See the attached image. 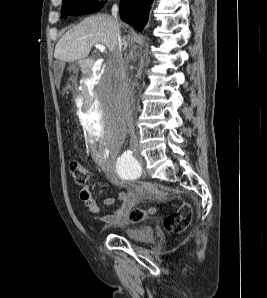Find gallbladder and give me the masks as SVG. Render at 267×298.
<instances>
[{
  "instance_id": "gallbladder-1",
  "label": "gallbladder",
  "mask_w": 267,
  "mask_h": 298,
  "mask_svg": "<svg viewBox=\"0 0 267 298\" xmlns=\"http://www.w3.org/2000/svg\"><path fill=\"white\" fill-rule=\"evenodd\" d=\"M57 65H61V63H57ZM56 72H57V73H60V69H57V68H56Z\"/></svg>"
}]
</instances>
